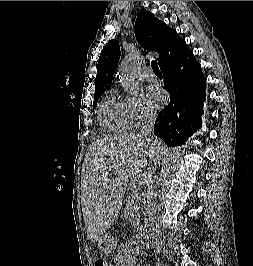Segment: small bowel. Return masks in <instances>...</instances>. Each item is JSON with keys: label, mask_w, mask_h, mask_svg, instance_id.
Returning <instances> with one entry per match:
<instances>
[{"label": "small bowel", "mask_w": 253, "mask_h": 266, "mask_svg": "<svg viewBox=\"0 0 253 266\" xmlns=\"http://www.w3.org/2000/svg\"><path fill=\"white\" fill-rule=\"evenodd\" d=\"M129 266H137V264L135 262H133V261H131V262L129 261ZM143 266H150V265L145 264Z\"/></svg>", "instance_id": "c3829d8e"}]
</instances>
